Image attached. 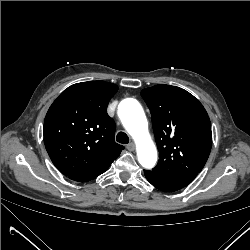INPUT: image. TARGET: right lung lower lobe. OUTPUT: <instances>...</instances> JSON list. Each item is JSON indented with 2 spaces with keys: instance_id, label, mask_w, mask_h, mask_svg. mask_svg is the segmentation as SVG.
I'll use <instances>...</instances> for the list:
<instances>
[{
  "instance_id": "1",
  "label": "right lung lower lobe",
  "mask_w": 250,
  "mask_h": 250,
  "mask_svg": "<svg viewBox=\"0 0 250 250\" xmlns=\"http://www.w3.org/2000/svg\"><path fill=\"white\" fill-rule=\"evenodd\" d=\"M107 169H108V167L105 168L104 170H101V171L96 172V173L83 175V176H77V177L72 178V180L79 181V182H86V181L92 180L93 178L99 176L100 174L105 172Z\"/></svg>"
}]
</instances>
